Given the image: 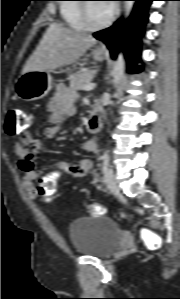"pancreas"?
<instances>
[{
	"label": "pancreas",
	"mask_w": 180,
	"mask_h": 299,
	"mask_svg": "<svg viewBox=\"0 0 180 299\" xmlns=\"http://www.w3.org/2000/svg\"><path fill=\"white\" fill-rule=\"evenodd\" d=\"M97 73L96 70L84 71L70 79V87L74 90H83L86 84H89Z\"/></svg>",
	"instance_id": "cf45deb5"
}]
</instances>
